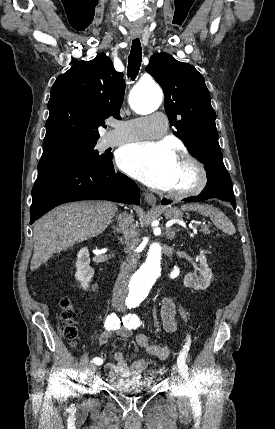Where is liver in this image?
Returning <instances> with one entry per match:
<instances>
[{"mask_svg": "<svg viewBox=\"0 0 275 429\" xmlns=\"http://www.w3.org/2000/svg\"><path fill=\"white\" fill-rule=\"evenodd\" d=\"M116 212L117 206L112 202H76L59 206L43 216L34 225L31 270L55 253L101 234Z\"/></svg>", "mask_w": 275, "mask_h": 429, "instance_id": "liver-1", "label": "liver"}]
</instances>
